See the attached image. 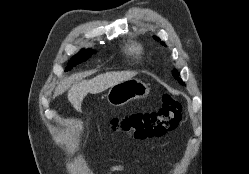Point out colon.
Here are the masks:
<instances>
[{"label": "colon", "mask_w": 249, "mask_h": 174, "mask_svg": "<svg viewBox=\"0 0 249 174\" xmlns=\"http://www.w3.org/2000/svg\"><path fill=\"white\" fill-rule=\"evenodd\" d=\"M181 109L178 101L164 95L163 104L158 110L113 118L105 131H121L137 139L161 136L178 125Z\"/></svg>", "instance_id": "colon-1"}]
</instances>
